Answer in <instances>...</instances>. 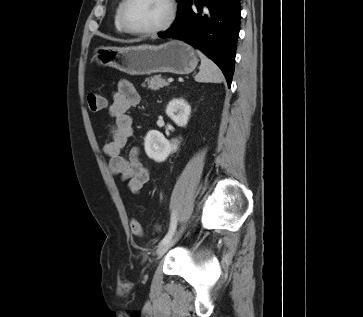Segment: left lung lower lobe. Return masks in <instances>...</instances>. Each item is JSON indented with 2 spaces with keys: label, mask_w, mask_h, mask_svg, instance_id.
<instances>
[{
  "label": "left lung lower lobe",
  "mask_w": 363,
  "mask_h": 317,
  "mask_svg": "<svg viewBox=\"0 0 363 317\" xmlns=\"http://www.w3.org/2000/svg\"><path fill=\"white\" fill-rule=\"evenodd\" d=\"M175 22L159 37H174L204 52L223 71L230 86L240 29V0H177Z\"/></svg>",
  "instance_id": "0a47b994"
}]
</instances>
